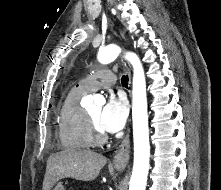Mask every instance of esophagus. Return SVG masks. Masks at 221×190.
I'll return each instance as SVG.
<instances>
[{
	"label": "esophagus",
	"mask_w": 221,
	"mask_h": 190,
	"mask_svg": "<svg viewBox=\"0 0 221 190\" xmlns=\"http://www.w3.org/2000/svg\"><path fill=\"white\" fill-rule=\"evenodd\" d=\"M128 73H129V79H131L130 65H128ZM129 158H130V138L128 132L124 140L116 150V153L113 158L114 167L117 170H123L127 166Z\"/></svg>",
	"instance_id": "obj_1"
}]
</instances>
